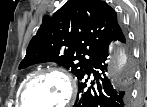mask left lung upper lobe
<instances>
[{"mask_svg": "<svg viewBox=\"0 0 147 107\" xmlns=\"http://www.w3.org/2000/svg\"><path fill=\"white\" fill-rule=\"evenodd\" d=\"M116 24L117 13L106 2L69 0L52 17L43 19L19 69L53 61L79 78Z\"/></svg>", "mask_w": 147, "mask_h": 107, "instance_id": "left-lung-upper-lobe-1", "label": "left lung upper lobe"}]
</instances>
